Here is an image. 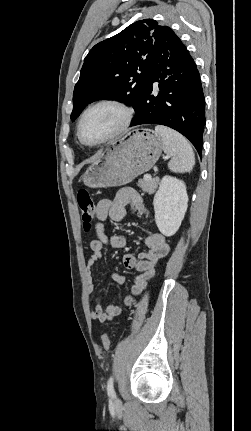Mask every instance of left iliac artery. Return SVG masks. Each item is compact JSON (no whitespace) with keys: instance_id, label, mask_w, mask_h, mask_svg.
<instances>
[{"instance_id":"1","label":"left iliac artery","mask_w":251,"mask_h":431,"mask_svg":"<svg viewBox=\"0 0 251 431\" xmlns=\"http://www.w3.org/2000/svg\"><path fill=\"white\" fill-rule=\"evenodd\" d=\"M107 393L109 396L115 397V391L113 386V377H110L107 382Z\"/></svg>"}]
</instances>
